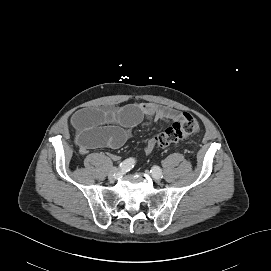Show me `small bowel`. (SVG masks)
<instances>
[{"label": "small bowel", "mask_w": 271, "mask_h": 271, "mask_svg": "<svg viewBox=\"0 0 271 271\" xmlns=\"http://www.w3.org/2000/svg\"><path fill=\"white\" fill-rule=\"evenodd\" d=\"M144 117H154L158 121L180 120L182 113L152 103L123 106L113 110L82 109L71 118L76 129V144L82 154L92 149L119 148L128 138L130 129ZM152 143L146 148L149 153Z\"/></svg>", "instance_id": "small-bowel-1"}]
</instances>
